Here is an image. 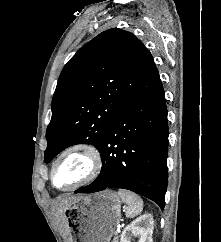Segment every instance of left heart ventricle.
Segmentation results:
<instances>
[{"label": "left heart ventricle", "mask_w": 221, "mask_h": 242, "mask_svg": "<svg viewBox=\"0 0 221 242\" xmlns=\"http://www.w3.org/2000/svg\"><path fill=\"white\" fill-rule=\"evenodd\" d=\"M89 167V159L84 153H69L57 165L54 183L60 188L69 187L82 179L88 173Z\"/></svg>", "instance_id": "1"}]
</instances>
